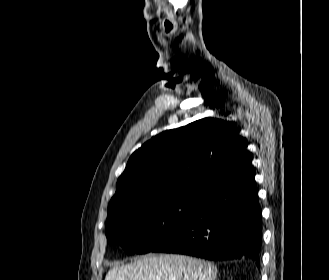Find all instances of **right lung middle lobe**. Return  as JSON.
Segmentation results:
<instances>
[{"instance_id": "right-lung-middle-lobe-1", "label": "right lung middle lobe", "mask_w": 329, "mask_h": 280, "mask_svg": "<svg viewBox=\"0 0 329 280\" xmlns=\"http://www.w3.org/2000/svg\"><path fill=\"white\" fill-rule=\"evenodd\" d=\"M200 197H151L108 206L107 242L145 254L166 241L197 208Z\"/></svg>"}]
</instances>
